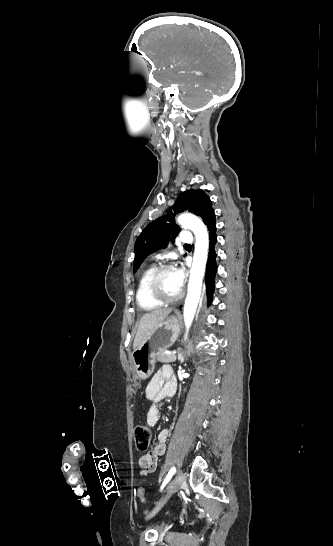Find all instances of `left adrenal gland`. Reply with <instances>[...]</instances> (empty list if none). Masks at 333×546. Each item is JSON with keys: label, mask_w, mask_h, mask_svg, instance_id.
Listing matches in <instances>:
<instances>
[{"label": "left adrenal gland", "mask_w": 333, "mask_h": 546, "mask_svg": "<svg viewBox=\"0 0 333 546\" xmlns=\"http://www.w3.org/2000/svg\"><path fill=\"white\" fill-rule=\"evenodd\" d=\"M178 359L181 363L184 362V356L181 353H179Z\"/></svg>", "instance_id": "obj_1"}]
</instances>
